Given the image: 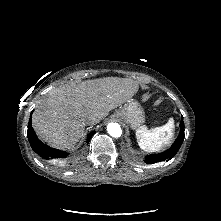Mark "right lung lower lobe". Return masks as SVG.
I'll return each instance as SVG.
<instances>
[{"label":"right lung lower lobe","instance_id":"1","mask_svg":"<svg viewBox=\"0 0 221 221\" xmlns=\"http://www.w3.org/2000/svg\"><path fill=\"white\" fill-rule=\"evenodd\" d=\"M32 113V112H31ZM95 131H92L87 136V142L90 140V138L93 136ZM27 136L30 142V145L32 149L40 155L42 158L49 160L51 162L59 163V164H68L70 163L71 159L66 158L68 156L67 152H63L54 148H51L45 144H43L36 136L32 124H31V116L28 123V131Z\"/></svg>","mask_w":221,"mask_h":221}]
</instances>
